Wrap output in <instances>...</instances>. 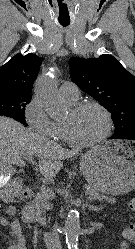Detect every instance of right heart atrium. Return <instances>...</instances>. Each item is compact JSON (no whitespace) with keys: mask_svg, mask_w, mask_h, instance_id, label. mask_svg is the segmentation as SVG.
I'll return each instance as SVG.
<instances>
[{"mask_svg":"<svg viewBox=\"0 0 135 249\" xmlns=\"http://www.w3.org/2000/svg\"><path fill=\"white\" fill-rule=\"evenodd\" d=\"M24 116L29 127L39 135L55 137V122L48 116L38 96H34L27 104Z\"/></svg>","mask_w":135,"mask_h":249,"instance_id":"d8ad5b80","label":"right heart atrium"}]
</instances>
